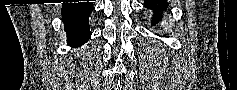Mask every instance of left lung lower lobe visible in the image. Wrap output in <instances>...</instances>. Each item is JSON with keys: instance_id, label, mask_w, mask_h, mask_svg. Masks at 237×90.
Masks as SVG:
<instances>
[{"instance_id": "1", "label": "left lung lower lobe", "mask_w": 237, "mask_h": 90, "mask_svg": "<svg viewBox=\"0 0 237 90\" xmlns=\"http://www.w3.org/2000/svg\"><path fill=\"white\" fill-rule=\"evenodd\" d=\"M144 4L147 8L152 9L156 14L152 19L153 25L159 22V19L162 18V12L168 7V3L166 0H146L144 1ZM159 12H161L160 15Z\"/></svg>"}]
</instances>
